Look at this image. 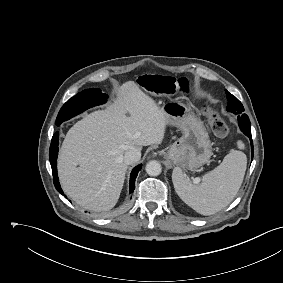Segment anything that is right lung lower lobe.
<instances>
[{"label": "right lung lower lobe", "instance_id": "obj_1", "mask_svg": "<svg viewBox=\"0 0 283 283\" xmlns=\"http://www.w3.org/2000/svg\"><path fill=\"white\" fill-rule=\"evenodd\" d=\"M58 143H59V133L56 132V133H54V135L52 137L49 157H50V163H51V168H52V173H53V181H54L55 188L57 189V191H59L61 194H63V191L60 187L59 179H58V176H57V167H56L57 166V155H58ZM141 168H142V164L136 166L131 172L130 193H132L134 188H135V179H136L137 174H138V172L140 171Z\"/></svg>", "mask_w": 283, "mask_h": 283}]
</instances>
